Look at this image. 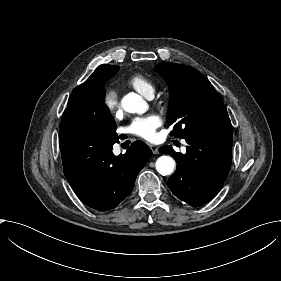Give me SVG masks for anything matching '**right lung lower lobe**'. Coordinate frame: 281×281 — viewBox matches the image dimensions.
I'll use <instances>...</instances> for the list:
<instances>
[{"mask_svg": "<svg viewBox=\"0 0 281 281\" xmlns=\"http://www.w3.org/2000/svg\"><path fill=\"white\" fill-rule=\"evenodd\" d=\"M95 88L72 91L59 128L64 174L79 199L98 211L116 207L132 191L152 151L142 141L115 156L116 123Z\"/></svg>", "mask_w": 281, "mask_h": 281, "instance_id": "obj_1", "label": "right lung lower lobe"}]
</instances>
